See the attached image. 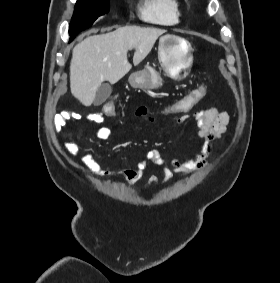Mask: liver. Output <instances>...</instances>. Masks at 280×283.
<instances>
[{"label":"liver","instance_id":"1","mask_svg":"<svg viewBox=\"0 0 280 283\" xmlns=\"http://www.w3.org/2000/svg\"><path fill=\"white\" fill-rule=\"evenodd\" d=\"M166 30L152 27L125 26L89 36L77 44L70 64L72 95L90 106L104 81L115 84L132 68L127 52L135 49L133 64L138 65L150 53L156 40Z\"/></svg>","mask_w":280,"mask_h":283}]
</instances>
